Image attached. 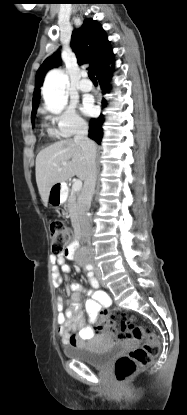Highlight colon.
<instances>
[{"instance_id": "1", "label": "colon", "mask_w": 187, "mask_h": 415, "mask_svg": "<svg viewBox=\"0 0 187 415\" xmlns=\"http://www.w3.org/2000/svg\"><path fill=\"white\" fill-rule=\"evenodd\" d=\"M50 234L52 237V252L55 255L68 254L74 243L73 231L62 221H52ZM95 330L100 333L116 334L142 342L141 346L134 347L127 355L116 360L114 373L119 382L127 381L160 352V343L150 330L142 325L127 321L106 309L99 311Z\"/></svg>"}]
</instances>
